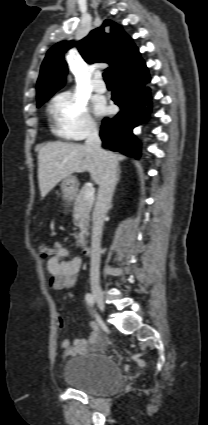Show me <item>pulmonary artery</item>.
Masks as SVG:
<instances>
[{
  "instance_id": "1",
  "label": "pulmonary artery",
  "mask_w": 208,
  "mask_h": 425,
  "mask_svg": "<svg viewBox=\"0 0 208 425\" xmlns=\"http://www.w3.org/2000/svg\"><path fill=\"white\" fill-rule=\"evenodd\" d=\"M93 89L96 92L104 93L107 89L106 84L101 79V75L99 73L95 74L94 81H93Z\"/></svg>"
}]
</instances>
